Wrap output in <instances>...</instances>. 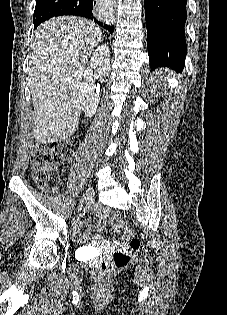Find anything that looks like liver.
<instances>
[{"label": "liver", "mask_w": 227, "mask_h": 315, "mask_svg": "<svg viewBox=\"0 0 227 315\" xmlns=\"http://www.w3.org/2000/svg\"><path fill=\"white\" fill-rule=\"evenodd\" d=\"M101 35L93 21L75 16L50 19L35 31L28 75L38 143L62 141L75 132L85 65Z\"/></svg>", "instance_id": "6515ba94"}]
</instances>
